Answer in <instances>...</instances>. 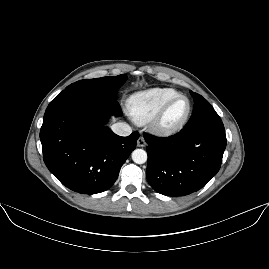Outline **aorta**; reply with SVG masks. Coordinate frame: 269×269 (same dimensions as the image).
Listing matches in <instances>:
<instances>
[{
  "mask_svg": "<svg viewBox=\"0 0 269 269\" xmlns=\"http://www.w3.org/2000/svg\"><path fill=\"white\" fill-rule=\"evenodd\" d=\"M132 160L137 164H143L147 161V153L143 149H136L132 152Z\"/></svg>",
  "mask_w": 269,
  "mask_h": 269,
  "instance_id": "obj_1",
  "label": "aorta"
}]
</instances>
